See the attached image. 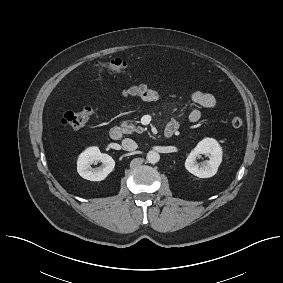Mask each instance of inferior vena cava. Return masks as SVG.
Listing matches in <instances>:
<instances>
[{"label": "inferior vena cava", "instance_id": "602c4592", "mask_svg": "<svg viewBox=\"0 0 283 283\" xmlns=\"http://www.w3.org/2000/svg\"><path fill=\"white\" fill-rule=\"evenodd\" d=\"M138 147L137 143L129 138H125L122 140V148L126 151L136 150Z\"/></svg>", "mask_w": 283, "mask_h": 283}]
</instances>
